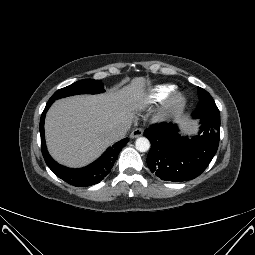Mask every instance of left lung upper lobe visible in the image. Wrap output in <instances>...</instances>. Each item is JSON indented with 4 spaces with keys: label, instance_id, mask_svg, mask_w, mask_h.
Returning a JSON list of instances; mask_svg holds the SVG:
<instances>
[{
    "label": "left lung upper lobe",
    "instance_id": "5c2ea615",
    "mask_svg": "<svg viewBox=\"0 0 255 255\" xmlns=\"http://www.w3.org/2000/svg\"><path fill=\"white\" fill-rule=\"evenodd\" d=\"M199 103L193 113L195 118L220 117L219 110L211 97L204 89L198 87Z\"/></svg>",
    "mask_w": 255,
    "mask_h": 255
}]
</instances>
